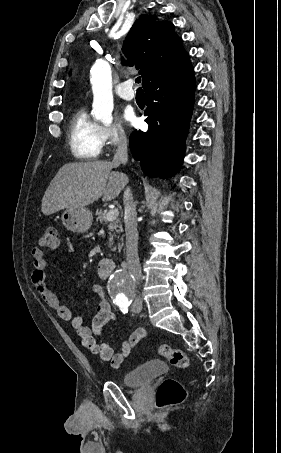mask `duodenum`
I'll use <instances>...</instances> for the list:
<instances>
[{
  "instance_id": "1",
  "label": "duodenum",
  "mask_w": 281,
  "mask_h": 453,
  "mask_svg": "<svg viewBox=\"0 0 281 453\" xmlns=\"http://www.w3.org/2000/svg\"><path fill=\"white\" fill-rule=\"evenodd\" d=\"M116 265L112 259L104 258L98 264L99 276L103 279L108 278L114 271Z\"/></svg>"
}]
</instances>
